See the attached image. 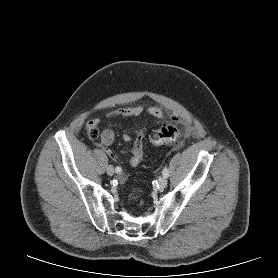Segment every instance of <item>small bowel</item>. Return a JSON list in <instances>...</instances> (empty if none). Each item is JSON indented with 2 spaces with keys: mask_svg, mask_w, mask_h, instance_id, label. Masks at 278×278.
<instances>
[{
  "mask_svg": "<svg viewBox=\"0 0 278 278\" xmlns=\"http://www.w3.org/2000/svg\"><path fill=\"white\" fill-rule=\"evenodd\" d=\"M143 112H144V108L141 106L119 108V109H115V110L109 112L106 115V120H107V122H110L113 119H117V118L138 117V116L142 115ZM147 114L151 118H156V119H161L164 117L163 110L158 107L148 108ZM99 122H100L99 119H93L88 123V127L90 128L92 126H97V124ZM134 135H135V137H134V141H133V146L131 148V156L129 159V163L131 166L136 167L140 164V162L142 161V159L144 157V146H143L144 132L139 129H134ZM114 139H115V134H114L113 130H111L109 128L103 130V132L101 134V139H100V146L113 159L115 158V155L109 147L113 143ZM123 141L124 142L132 141V136L128 133L124 134ZM120 179L125 180L126 175L121 174Z\"/></svg>",
  "mask_w": 278,
  "mask_h": 278,
  "instance_id": "1",
  "label": "small bowel"
}]
</instances>
